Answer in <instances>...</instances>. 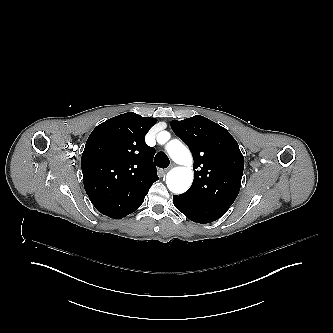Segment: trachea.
Returning a JSON list of instances; mask_svg holds the SVG:
<instances>
[{
    "label": "trachea",
    "mask_w": 333,
    "mask_h": 333,
    "mask_svg": "<svg viewBox=\"0 0 333 333\" xmlns=\"http://www.w3.org/2000/svg\"><path fill=\"white\" fill-rule=\"evenodd\" d=\"M155 164L160 168H166L169 166V158L163 152H159L154 158Z\"/></svg>",
    "instance_id": "obj_1"
}]
</instances>
